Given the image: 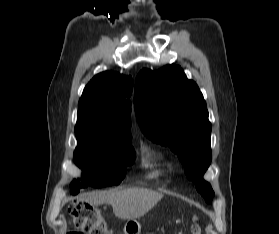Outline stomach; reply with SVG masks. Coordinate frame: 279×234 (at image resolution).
I'll use <instances>...</instances> for the list:
<instances>
[{"mask_svg": "<svg viewBox=\"0 0 279 234\" xmlns=\"http://www.w3.org/2000/svg\"><path fill=\"white\" fill-rule=\"evenodd\" d=\"M141 231V225L135 219H130L124 226V234H139Z\"/></svg>", "mask_w": 279, "mask_h": 234, "instance_id": "0dacf381", "label": "stomach"}]
</instances>
